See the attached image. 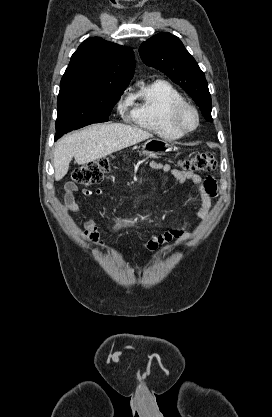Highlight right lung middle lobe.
Wrapping results in <instances>:
<instances>
[{"instance_id":"dd1d6c3e","label":"right lung middle lobe","mask_w":272,"mask_h":417,"mask_svg":"<svg viewBox=\"0 0 272 417\" xmlns=\"http://www.w3.org/2000/svg\"><path fill=\"white\" fill-rule=\"evenodd\" d=\"M124 90L125 88L93 95L58 98L55 140L72 130L108 121L113 106Z\"/></svg>"}]
</instances>
